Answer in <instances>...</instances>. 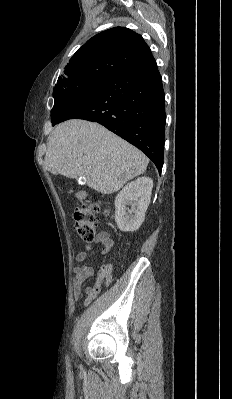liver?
Segmentation results:
<instances>
[{
  "instance_id": "1",
  "label": "liver",
  "mask_w": 232,
  "mask_h": 399,
  "mask_svg": "<svg viewBox=\"0 0 232 399\" xmlns=\"http://www.w3.org/2000/svg\"><path fill=\"white\" fill-rule=\"evenodd\" d=\"M44 164L55 176H83L89 188L113 194L129 180L144 174L149 160L143 152L99 124L68 120L53 130Z\"/></svg>"
}]
</instances>
